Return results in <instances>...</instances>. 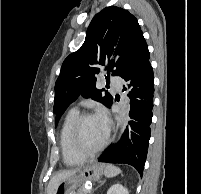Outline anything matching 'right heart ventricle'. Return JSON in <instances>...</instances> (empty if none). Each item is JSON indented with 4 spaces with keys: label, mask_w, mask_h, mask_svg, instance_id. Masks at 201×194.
<instances>
[{
    "label": "right heart ventricle",
    "mask_w": 201,
    "mask_h": 194,
    "mask_svg": "<svg viewBox=\"0 0 201 194\" xmlns=\"http://www.w3.org/2000/svg\"><path fill=\"white\" fill-rule=\"evenodd\" d=\"M78 115L79 112L77 109H70L62 121L59 132V145L62 159L63 162L68 166L79 165L86 159L75 152L71 143L72 126Z\"/></svg>",
    "instance_id": "right-heart-ventricle-1"
}]
</instances>
